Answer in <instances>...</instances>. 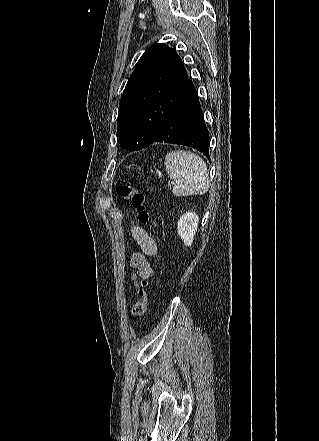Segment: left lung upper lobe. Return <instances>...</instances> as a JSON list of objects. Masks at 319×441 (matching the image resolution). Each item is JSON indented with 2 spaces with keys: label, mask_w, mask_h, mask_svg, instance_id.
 <instances>
[{
  "label": "left lung upper lobe",
  "mask_w": 319,
  "mask_h": 441,
  "mask_svg": "<svg viewBox=\"0 0 319 441\" xmlns=\"http://www.w3.org/2000/svg\"><path fill=\"white\" fill-rule=\"evenodd\" d=\"M191 84L174 49L158 43L146 50L120 100L117 137L121 147L129 151L148 147Z\"/></svg>",
  "instance_id": "left-lung-upper-lobe-1"
}]
</instances>
